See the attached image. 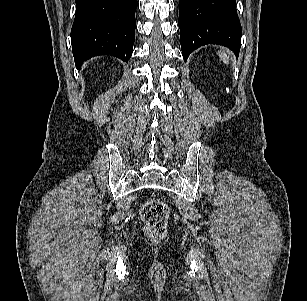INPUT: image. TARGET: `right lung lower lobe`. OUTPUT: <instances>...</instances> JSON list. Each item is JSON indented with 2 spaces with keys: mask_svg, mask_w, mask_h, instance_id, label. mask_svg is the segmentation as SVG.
Listing matches in <instances>:
<instances>
[{
  "mask_svg": "<svg viewBox=\"0 0 307 301\" xmlns=\"http://www.w3.org/2000/svg\"><path fill=\"white\" fill-rule=\"evenodd\" d=\"M71 30L77 68L97 55L110 54L128 62L135 38L137 0H75Z\"/></svg>",
  "mask_w": 307,
  "mask_h": 301,
  "instance_id": "1",
  "label": "right lung lower lobe"
}]
</instances>
